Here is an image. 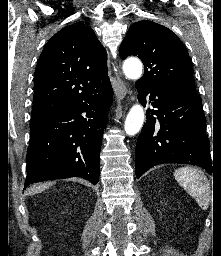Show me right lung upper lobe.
Wrapping results in <instances>:
<instances>
[{
  "label": "right lung upper lobe",
  "mask_w": 221,
  "mask_h": 256,
  "mask_svg": "<svg viewBox=\"0 0 221 256\" xmlns=\"http://www.w3.org/2000/svg\"><path fill=\"white\" fill-rule=\"evenodd\" d=\"M111 86L107 54L94 31L69 25L45 45L35 71L32 119L90 98Z\"/></svg>",
  "instance_id": "cb5924a9"
}]
</instances>
